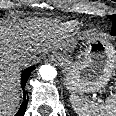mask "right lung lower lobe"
Returning <instances> with one entry per match:
<instances>
[{"label":"right lung lower lobe","mask_w":116,"mask_h":116,"mask_svg":"<svg viewBox=\"0 0 116 116\" xmlns=\"http://www.w3.org/2000/svg\"><path fill=\"white\" fill-rule=\"evenodd\" d=\"M35 69L34 66L28 67L25 69L22 74H21V86L22 89L24 90L25 84L27 82L28 77L30 76V73ZM28 101L26 100L25 92H24V101L22 102V105L19 109V111L16 113L15 116H23L26 111Z\"/></svg>","instance_id":"98d812e1"}]
</instances>
